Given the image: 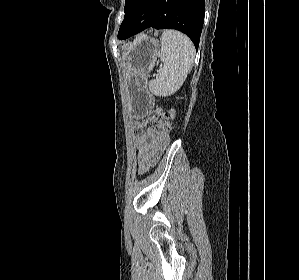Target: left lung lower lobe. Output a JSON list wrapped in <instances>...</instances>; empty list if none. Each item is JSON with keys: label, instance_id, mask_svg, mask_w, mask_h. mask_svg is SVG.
Returning a JSON list of instances; mask_svg holds the SVG:
<instances>
[{"label": "left lung lower lobe", "instance_id": "left-lung-lower-lobe-1", "mask_svg": "<svg viewBox=\"0 0 299 280\" xmlns=\"http://www.w3.org/2000/svg\"><path fill=\"white\" fill-rule=\"evenodd\" d=\"M205 0H134L119 39H126L146 28L176 29L199 46L204 22Z\"/></svg>", "mask_w": 299, "mask_h": 280}]
</instances>
